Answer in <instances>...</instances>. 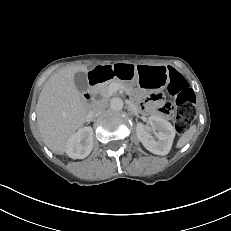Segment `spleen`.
I'll list each match as a JSON object with an SVG mask.
<instances>
[{"label": "spleen", "mask_w": 231, "mask_h": 231, "mask_svg": "<svg viewBox=\"0 0 231 231\" xmlns=\"http://www.w3.org/2000/svg\"><path fill=\"white\" fill-rule=\"evenodd\" d=\"M195 132H196V126L192 125L187 131L184 132V134H182V136L177 142L176 147L181 148L184 145H186L193 138Z\"/></svg>", "instance_id": "spleen-1"}]
</instances>
